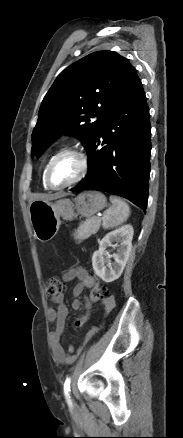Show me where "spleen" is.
Segmentation results:
<instances>
[{
  "instance_id": "3e777b00",
  "label": "spleen",
  "mask_w": 183,
  "mask_h": 438,
  "mask_svg": "<svg viewBox=\"0 0 183 438\" xmlns=\"http://www.w3.org/2000/svg\"><path fill=\"white\" fill-rule=\"evenodd\" d=\"M111 207L103 213V228H114L123 224L130 215L129 205L116 196H110Z\"/></svg>"
}]
</instances>
